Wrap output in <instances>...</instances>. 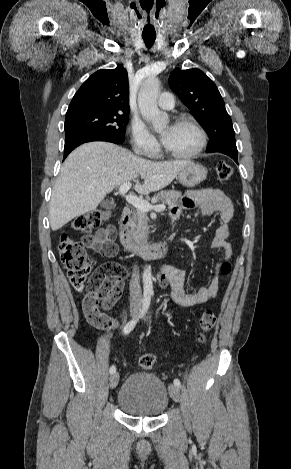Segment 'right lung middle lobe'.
Listing matches in <instances>:
<instances>
[{"instance_id": "right-lung-middle-lobe-1", "label": "right lung middle lobe", "mask_w": 291, "mask_h": 469, "mask_svg": "<svg viewBox=\"0 0 291 469\" xmlns=\"http://www.w3.org/2000/svg\"><path fill=\"white\" fill-rule=\"evenodd\" d=\"M129 112L81 110L66 113V136L73 134H105L124 136Z\"/></svg>"}]
</instances>
